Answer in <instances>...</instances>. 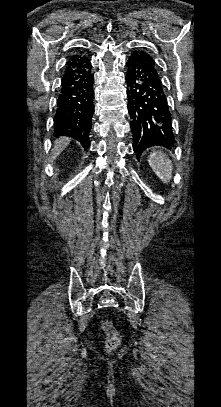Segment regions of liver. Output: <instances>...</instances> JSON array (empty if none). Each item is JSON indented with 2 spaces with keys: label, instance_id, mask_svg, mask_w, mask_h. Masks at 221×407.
I'll return each instance as SVG.
<instances>
[{
  "label": "liver",
  "instance_id": "6515ba94",
  "mask_svg": "<svg viewBox=\"0 0 221 407\" xmlns=\"http://www.w3.org/2000/svg\"><path fill=\"white\" fill-rule=\"evenodd\" d=\"M70 143V139L68 137H60L54 142V147L52 149V154L50 157V160H54L56 157H58L61 152L68 146Z\"/></svg>",
  "mask_w": 221,
  "mask_h": 407
}]
</instances>
